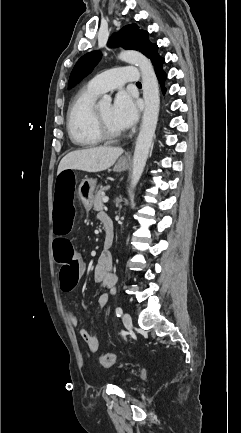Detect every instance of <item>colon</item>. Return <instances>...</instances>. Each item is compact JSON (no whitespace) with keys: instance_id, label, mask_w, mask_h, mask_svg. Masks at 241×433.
<instances>
[{"instance_id":"obj_1","label":"colon","mask_w":241,"mask_h":433,"mask_svg":"<svg viewBox=\"0 0 241 433\" xmlns=\"http://www.w3.org/2000/svg\"><path fill=\"white\" fill-rule=\"evenodd\" d=\"M71 165L61 166L57 173L56 188L52 201L53 221L57 239H53L52 250L55 258L61 265V288L63 291H71L77 281L80 261L72 246V239H68V233L73 225V207H70L75 188L73 181L75 174ZM115 362L113 353H106L100 357V363L104 367H110Z\"/></svg>"}]
</instances>
